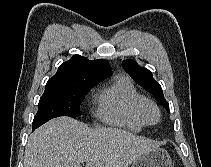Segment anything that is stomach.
<instances>
[{
  "instance_id": "1",
  "label": "stomach",
  "mask_w": 211,
  "mask_h": 167,
  "mask_svg": "<svg viewBox=\"0 0 211 167\" xmlns=\"http://www.w3.org/2000/svg\"><path fill=\"white\" fill-rule=\"evenodd\" d=\"M131 167H172V160L166 150L157 147L143 154Z\"/></svg>"
}]
</instances>
